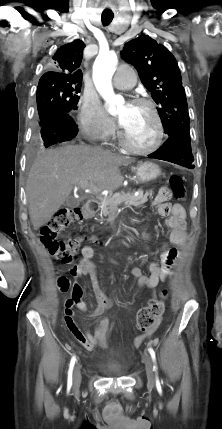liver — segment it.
<instances>
[{
	"instance_id": "6515ba94",
	"label": "liver",
	"mask_w": 222,
	"mask_h": 429,
	"mask_svg": "<svg viewBox=\"0 0 222 429\" xmlns=\"http://www.w3.org/2000/svg\"><path fill=\"white\" fill-rule=\"evenodd\" d=\"M131 162L130 158L85 145L43 151L33 163L26 185L34 230L51 219L82 181H90L101 190L119 188L123 180L119 167Z\"/></svg>"
}]
</instances>
